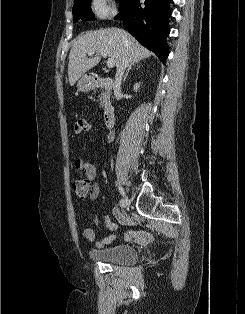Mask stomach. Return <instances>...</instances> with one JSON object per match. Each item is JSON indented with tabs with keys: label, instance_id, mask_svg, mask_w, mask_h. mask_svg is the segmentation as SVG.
<instances>
[{
	"label": "stomach",
	"instance_id": "obj_1",
	"mask_svg": "<svg viewBox=\"0 0 245 314\" xmlns=\"http://www.w3.org/2000/svg\"><path fill=\"white\" fill-rule=\"evenodd\" d=\"M94 87L93 79L89 75L82 76L78 83L77 88L79 91L88 92Z\"/></svg>",
	"mask_w": 245,
	"mask_h": 314
}]
</instances>
